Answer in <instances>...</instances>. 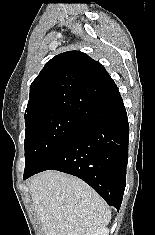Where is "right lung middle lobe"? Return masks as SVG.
<instances>
[{"mask_svg": "<svg viewBox=\"0 0 155 235\" xmlns=\"http://www.w3.org/2000/svg\"><path fill=\"white\" fill-rule=\"evenodd\" d=\"M88 121L59 108H45L25 115V170L38 169Z\"/></svg>", "mask_w": 155, "mask_h": 235, "instance_id": "obj_1", "label": "right lung middle lobe"}]
</instances>
